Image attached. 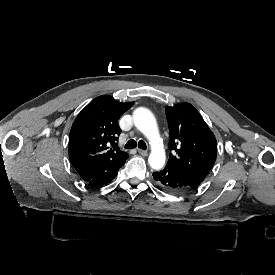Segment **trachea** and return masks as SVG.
Listing matches in <instances>:
<instances>
[{
    "label": "trachea",
    "instance_id": "1",
    "mask_svg": "<svg viewBox=\"0 0 275 275\" xmlns=\"http://www.w3.org/2000/svg\"><path fill=\"white\" fill-rule=\"evenodd\" d=\"M139 147L140 149H143V150H146L147 149V146H146V143L143 141V140H140L137 144V142L133 139L129 140L126 145H125V148L126 149H133V148H136V147Z\"/></svg>",
    "mask_w": 275,
    "mask_h": 275
}]
</instances>
